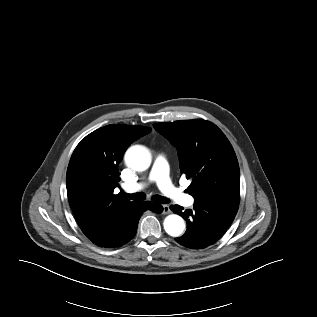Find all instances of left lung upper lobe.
<instances>
[{
  "mask_svg": "<svg viewBox=\"0 0 317 317\" xmlns=\"http://www.w3.org/2000/svg\"><path fill=\"white\" fill-rule=\"evenodd\" d=\"M153 126L176 146L181 174L192 180L188 192L195 201L239 206L238 161L233 147L217 126L205 120Z\"/></svg>",
  "mask_w": 317,
  "mask_h": 317,
  "instance_id": "1",
  "label": "left lung upper lobe"
}]
</instances>
